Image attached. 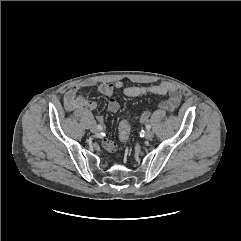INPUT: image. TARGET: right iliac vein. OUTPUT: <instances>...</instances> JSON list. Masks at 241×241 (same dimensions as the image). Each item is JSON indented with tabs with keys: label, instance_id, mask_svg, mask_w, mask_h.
Returning a JSON list of instances; mask_svg holds the SVG:
<instances>
[{
	"label": "right iliac vein",
	"instance_id": "right-iliac-vein-1",
	"mask_svg": "<svg viewBox=\"0 0 241 241\" xmlns=\"http://www.w3.org/2000/svg\"><path fill=\"white\" fill-rule=\"evenodd\" d=\"M90 130L93 133H97L99 131L98 127L95 124L91 125Z\"/></svg>",
	"mask_w": 241,
	"mask_h": 241
}]
</instances>
